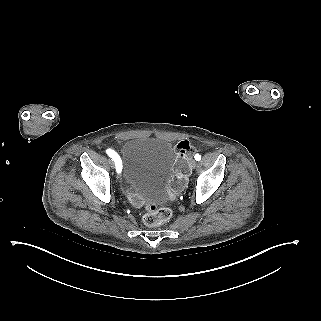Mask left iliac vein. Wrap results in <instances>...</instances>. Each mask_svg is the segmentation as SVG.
Masks as SVG:
<instances>
[{"label": "left iliac vein", "mask_w": 321, "mask_h": 321, "mask_svg": "<svg viewBox=\"0 0 321 321\" xmlns=\"http://www.w3.org/2000/svg\"><path fill=\"white\" fill-rule=\"evenodd\" d=\"M197 164H198V163H197V161H196V160H194V159H193V160H191L190 165H191V167H192V168H196V167H197Z\"/></svg>", "instance_id": "4c4485c4"}]
</instances>
